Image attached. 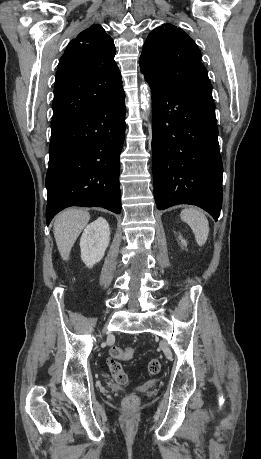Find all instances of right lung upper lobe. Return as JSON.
<instances>
[{"label": "right lung upper lobe", "instance_id": "right-lung-upper-lobe-1", "mask_svg": "<svg viewBox=\"0 0 261 459\" xmlns=\"http://www.w3.org/2000/svg\"><path fill=\"white\" fill-rule=\"evenodd\" d=\"M114 42L93 25L67 46L56 73L51 127L82 116L122 88Z\"/></svg>", "mask_w": 261, "mask_h": 459}]
</instances>
